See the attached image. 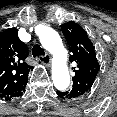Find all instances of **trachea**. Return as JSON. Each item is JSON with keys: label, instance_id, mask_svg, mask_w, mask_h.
<instances>
[{"label": "trachea", "instance_id": "obj_1", "mask_svg": "<svg viewBox=\"0 0 117 117\" xmlns=\"http://www.w3.org/2000/svg\"><path fill=\"white\" fill-rule=\"evenodd\" d=\"M33 57L44 56L45 52L39 45H34L32 48Z\"/></svg>", "mask_w": 117, "mask_h": 117}]
</instances>
